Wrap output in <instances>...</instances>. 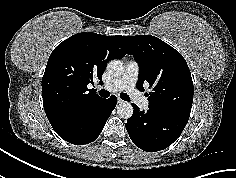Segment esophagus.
Listing matches in <instances>:
<instances>
[{
	"mask_svg": "<svg viewBox=\"0 0 236 178\" xmlns=\"http://www.w3.org/2000/svg\"><path fill=\"white\" fill-rule=\"evenodd\" d=\"M124 101L122 99H118V104H122Z\"/></svg>",
	"mask_w": 236,
	"mask_h": 178,
	"instance_id": "34e87169",
	"label": "esophagus"
}]
</instances>
